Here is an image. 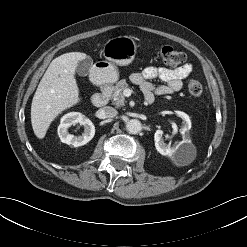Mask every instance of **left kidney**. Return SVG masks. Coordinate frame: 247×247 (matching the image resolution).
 Wrapping results in <instances>:
<instances>
[{
  "mask_svg": "<svg viewBox=\"0 0 247 247\" xmlns=\"http://www.w3.org/2000/svg\"><path fill=\"white\" fill-rule=\"evenodd\" d=\"M176 114L183 120V128L181 129V134L183 135L182 141H180L177 145L171 146V145H167L163 141L162 130H157L154 134L156 150L160 154L168 157H172L180 148L192 144L189 134V130L191 129V120L189 116L182 111H176Z\"/></svg>",
  "mask_w": 247,
  "mask_h": 247,
  "instance_id": "1",
  "label": "left kidney"
}]
</instances>
